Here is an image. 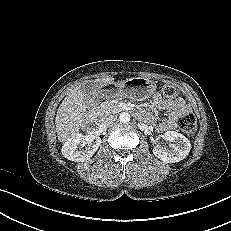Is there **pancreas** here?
Wrapping results in <instances>:
<instances>
[{
	"instance_id": "obj_1",
	"label": "pancreas",
	"mask_w": 231,
	"mask_h": 231,
	"mask_svg": "<svg viewBox=\"0 0 231 231\" xmlns=\"http://www.w3.org/2000/svg\"><path fill=\"white\" fill-rule=\"evenodd\" d=\"M98 111L101 116L121 111L119 103L116 100H106L99 107Z\"/></svg>"
}]
</instances>
